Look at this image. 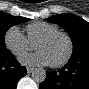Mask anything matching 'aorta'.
<instances>
[{"instance_id": "762f6f07", "label": "aorta", "mask_w": 89, "mask_h": 89, "mask_svg": "<svg viewBox=\"0 0 89 89\" xmlns=\"http://www.w3.org/2000/svg\"><path fill=\"white\" fill-rule=\"evenodd\" d=\"M31 77L36 83H41L46 79V71L42 68H35Z\"/></svg>"}]
</instances>
